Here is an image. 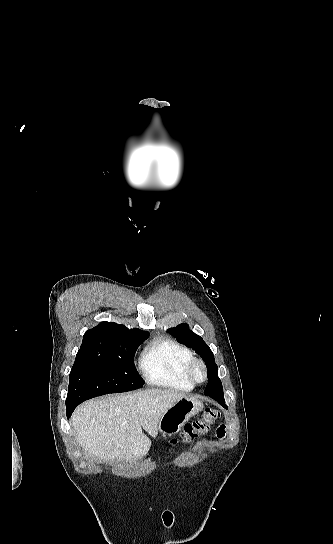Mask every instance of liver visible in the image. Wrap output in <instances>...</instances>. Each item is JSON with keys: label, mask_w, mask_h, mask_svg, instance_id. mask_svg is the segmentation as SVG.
I'll return each mask as SVG.
<instances>
[{"label": "liver", "mask_w": 333, "mask_h": 544, "mask_svg": "<svg viewBox=\"0 0 333 544\" xmlns=\"http://www.w3.org/2000/svg\"><path fill=\"white\" fill-rule=\"evenodd\" d=\"M185 394L173 390L148 389L108 396L80 405L72 415L77 440L93 457L101 460H138L151 446L165 412Z\"/></svg>", "instance_id": "1"}]
</instances>
